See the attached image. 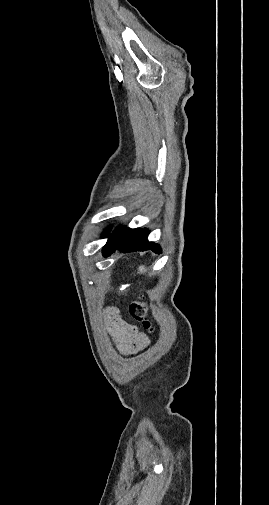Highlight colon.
<instances>
[{
	"label": "colon",
	"instance_id": "colon-1",
	"mask_svg": "<svg viewBox=\"0 0 269 505\" xmlns=\"http://www.w3.org/2000/svg\"><path fill=\"white\" fill-rule=\"evenodd\" d=\"M129 313L133 319H135L138 322H141L146 330L148 331L153 330L152 323L148 319L147 306L143 301L141 300L133 301L129 306Z\"/></svg>",
	"mask_w": 269,
	"mask_h": 505
}]
</instances>
